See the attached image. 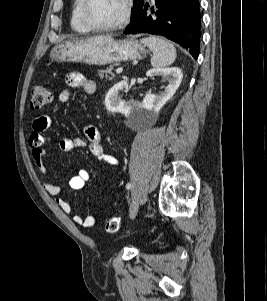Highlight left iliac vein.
<instances>
[{
    "mask_svg": "<svg viewBox=\"0 0 267 301\" xmlns=\"http://www.w3.org/2000/svg\"><path fill=\"white\" fill-rule=\"evenodd\" d=\"M138 209H139V201L138 199L135 197L132 199V202L130 204V210H129V214H130V218L131 219H134L137 212H138Z\"/></svg>",
    "mask_w": 267,
    "mask_h": 301,
    "instance_id": "obj_1",
    "label": "left iliac vein"
}]
</instances>
